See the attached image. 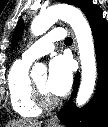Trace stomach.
I'll return each instance as SVG.
<instances>
[{"mask_svg":"<svg viewBox=\"0 0 108 127\" xmlns=\"http://www.w3.org/2000/svg\"><path fill=\"white\" fill-rule=\"evenodd\" d=\"M46 127H60V126L58 124H53V125L47 124Z\"/></svg>","mask_w":108,"mask_h":127,"instance_id":"0dacf381","label":"stomach"}]
</instances>
